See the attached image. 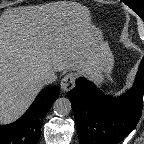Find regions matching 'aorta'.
Segmentation results:
<instances>
[{"label":"aorta","instance_id":"1","mask_svg":"<svg viewBox=\"0 0 144 144\" xmlns=\"http://www.w3.org/2000/svg\"><path fill=\"white\" fill-rule=\"evenodd\" d=\"M72 109L71 102L68 98H58L53 104L54 113L58 116H66Z\"/></svg>","mask_w":144,"mask_h":144}]
</instances>
